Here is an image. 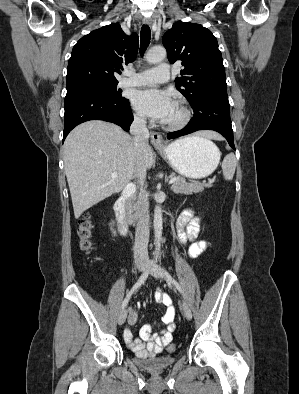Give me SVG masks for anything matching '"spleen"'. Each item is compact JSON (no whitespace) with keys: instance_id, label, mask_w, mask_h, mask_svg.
Instances as JSON below:
<instances>
[{"instance_id":"obj_1","label":"spleen","mask_w":299,"mask_h":394,"mask_svg":"<svg viewBox=\"0 0 299 394\" xmlns=\"http://www.w3.org/2000/svg\"><path fill=\"white\" fill-rule=\"evenodd\" d=\"M210 141V140H208ZM236 158L233 153L227 154L222 161V171L225 180H232L236 169Z\"/></svg>"}]
</instances>
